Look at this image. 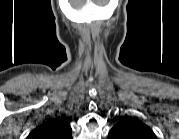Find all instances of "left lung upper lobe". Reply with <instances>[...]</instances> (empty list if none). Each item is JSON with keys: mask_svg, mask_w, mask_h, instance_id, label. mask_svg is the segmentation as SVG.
<instances>
[{"mask_svg": "<svg viewBox=\"0 0 179 139\" xmlns=\"http://www.w3.org/2000/svg\"><path fill=\"white\" fill-rule=\"evenodd\" d=\"M108 138L156 139V136L146 124L131 118H125L111 129Z\"/></svg>", "mask_w": 179, "mask_h": 139, "instance_id": "5c2ea615", "label": "left lung upper lobe"}]
</instances>
